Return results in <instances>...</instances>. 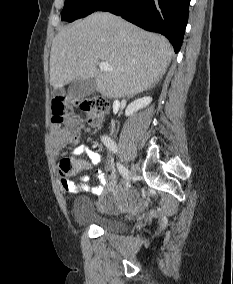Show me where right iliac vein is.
<instances>
[{
  "label": "right iliac vein",
  "mask_w": 233,
  "mask_h": 284,
  "mask_svg": "<svg viewBox=\"0 0 233 284\" xmlns=\"http://www.w3.org/2000/svg\"><path fill=\"white\" fill-rule=\"evenodd\" d=\"M131 169H134V165H132ZM135 177H136V172H129V177H127V182L129 185L135 184Z\"/></svg>",
  "instance_id": "right-iliac-vein-1"
}]
</instances>
